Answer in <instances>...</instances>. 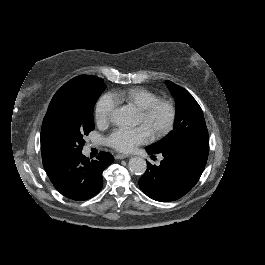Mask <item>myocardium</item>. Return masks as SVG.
I'll list each match as a JSON object with an SVG mask.
<instances>
[{
	"mask_svg": "<svg viewBox=\"0 0 265 265\" xmlns=\"http://www.w3.org/2000/svg\"><path fill=\"white\" fill-rule=\"evenodd\" d=\"M159 108H163L166 111V120L160 128L152 133L154 139L165 136L172 129L176 118L175 107L169 101L158 99L139 111L144 121L147 122Z\"/></svg>",
	"mask_w": 265,
	"mask_h": 265,
	"instance_id": "1",
	"label": "myocardium"
}]
</instances>
